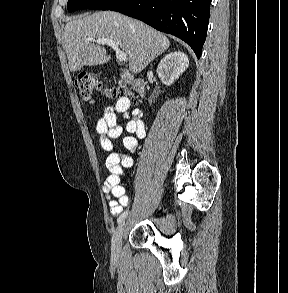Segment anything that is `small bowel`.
I'll return each instance as SVG.
<instances>
[{"label": "small bowel", "mask_w": 288, "mask_h": 293, "mask_svg": "<svg viewBox=\"0 0 288 293\" xmlns=\"http://www.w3.org/2000/svg\"><path fill=\"white\" fill-rule=\"evenodd\" d=\"M125 120V130L130 134L122 137V145L127 150L125 154L115 151V141L122 136L123 127L118 124L117 116ZM96 131L100 138V145L108 153L106 167L110 175L103 183V191L113 216L119 215L123 208L130 203L125 183L127 170L133 167V153L139 139L146 136L145 124L139 109H130V102L126 98L119 99L112 106L105 109L96 124Z\"/></svg>", "instance_id": "1"}]
</instances>
